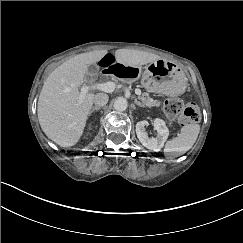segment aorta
Returning <instances> with one entry per match:
<instances>
[{
    "label": "aorta",
    "mask_w": 243,
    "mask_h": 243,
    "mask_svg": "<svg viewBox=\"0 0 243 243\" xmlns=\"http://www.w3.org/2000/svg\"><path fill=\"white\" fill-rule=\"evenodd\" d=\"M113 107L116 111L123 112L127 109L128 103L127 100L123 97H118L113 104Z\"/></svg>",
    "instance_id": "1"
}]
</instances>
